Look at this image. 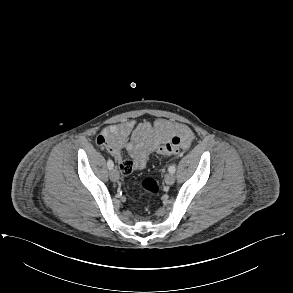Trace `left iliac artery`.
<instances>
[{
  "mask_svg": "<svg viewBox=\"0 0 293 293\" xmlns=\"http://www.w3.org/2000/svg\"><path fill=\"white\" fill-rule=\"evenodd\" d=\"M168 171L170 172V173H175V171H176V168H175V166L174 165H171L169 168H168Z\"/></svg>",
  "mask_w": 293,
  "mask_h": 293,
  "instance_id": "1",
  "label": "left iliac artery"
}]
</instances>
